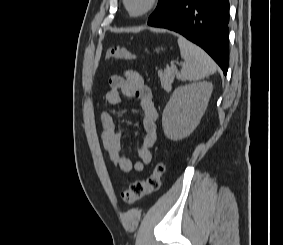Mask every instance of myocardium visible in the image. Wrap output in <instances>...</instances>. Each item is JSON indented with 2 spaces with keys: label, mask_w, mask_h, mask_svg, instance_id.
I'll return each instance as SVG.
<instances>
[{
  "label": "myocardium",
  "mask_w": 283,
  "mask_h": 245,
  "mask_svg": "<svg viewBox=\"0 0 283 245\" xmlns=\"http://www.w3.org/2000/svg\"><path fill=\"white\" fill-rule=\"evenodd\" d=\"M122 1L127 14L132 18H140L146 16L147 14L155 10L160 2V0H148L147 5L141 11L133 12L129 7V0H122Z\"/></svg>",
  "instance_id": "obj_1"
}]
</instances>
